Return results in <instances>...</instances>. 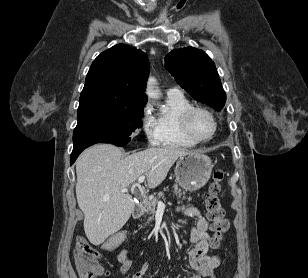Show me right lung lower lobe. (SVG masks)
Segmentation results:
<instances>
[{"label": "right lung lower lobe", "mask_w": 308, "mask_h": 278, "mask_svg": "<svg viewBox=\"0 0 308 278\" xmlns=\"http://www.w3.org/2000/svg\"><path fill=\"white\" fill-rule=\"evenodd\" d=\"M91 145H93V144H81V145L74 146L73 147V151L71 153V157H70V164L72 165L74 163V161L77 159V157L79 156V154L84 149H86L87 147H89Z\"/></svg>", "instance_id": "98d812e1"}]
</instances>
